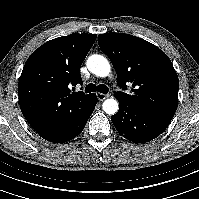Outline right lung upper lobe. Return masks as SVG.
I'll return each mask as SVG.
<instances>
[{"label": "right lung upper lobe", "mask_w": 199, "mask_h": 199, "mask_svg": "<svg viewBox=\"0 0 199 199\" xmlns=\"http://www.w3.org/2000/svg\"><path fill=\"white\" fill-rule=\"evenodd\" d=\"M96 40L92 34H72L50 40L27 59L18 84L21 111L39 134L77 118L93 94L71 92L82 84L80 67Z\"/></svg>", "instance_id": "obj_1"}]
</instances>
